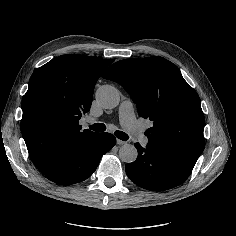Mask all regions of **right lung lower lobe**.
I'll list each match as a JSON object with an SVG mask.
<instances>
[{
    "mask_svg": "<svg viewBox=\"0 0 236 236\" xmlns=\"http://www.w3.org/2000/svg\"><path fill=\"white\" fill-rule=\"evenodd\" d=\"M116 144L110 133H91L70 144L50 169L47 179L71 185L86 180L96 170L101 157Z\"/></svg>",
    "mask_w": 236,
    "mask_h": 236,
    "instance_id": "1",
    "label": "right lung lower lobe"
}]
</instances>
